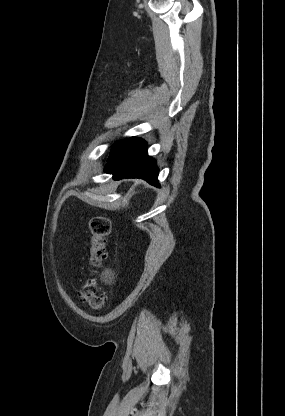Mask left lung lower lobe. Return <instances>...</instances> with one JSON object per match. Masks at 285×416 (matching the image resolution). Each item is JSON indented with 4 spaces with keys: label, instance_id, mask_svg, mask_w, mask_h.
<instances>
[{
    "label": "left lung lower lobe",
    "instance_id": "0a47b994",
    "mask_svg": "<svg viewBox=\"0 0 285 416\" xmlns=\"http://www.w3.org/2000/svg\"><path fill=\"white\" fill-rule=\"evenodd\" d=\"M146 146L144 140L135 137L114 143L105 172L112 173L114 179L140 178L159 187L158 168L147 155Z\"/></svg>",
    "mask_w": 285,
    "mask_h": 416
}]
</instances>
